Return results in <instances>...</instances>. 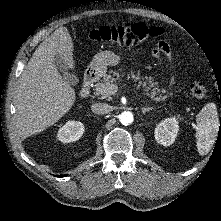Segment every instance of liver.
<instances>
[{
  "instance_id": "obj_1",
  "label": "liver",
  "mask_w": 221,
  "mask_h": 221,
  "mask_svg": "<svg viewBox=\"0 0 221 221\" xmlns=\"http://www.w3.org/2000/svg\"><path fill=\"white\" fill-rule=\"evenodd\" d=\"M74 45L66 27H59L35 50L20 76L15 98L16 127L26 138L60 120L75 102L74 89L55 66L61 57L66 68L75 67Z\"/></svg>"
}]
</instances>
